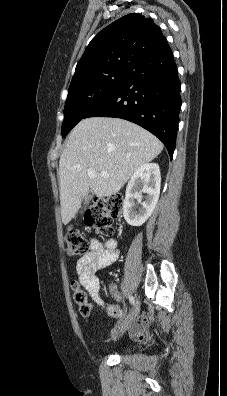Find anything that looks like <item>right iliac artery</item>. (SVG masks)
Segmentation results:
<instances>
[{
  "mask_svg": "<svg viewBox=\"0 0 227 396\" xmlns=\"http://www.w3.org/2000/svg\"><path fill=\"white\" fill-rule=\"evenodd\" d=\"M129 302H130L132 305H134L135 300H134V297H133V296H129Z\"/></svg>",
  "mask_w": 227,
  "mask_h": 396,
  "instance_id": "right-iliac-artery-1",
  "label": "right iliac artery"
}]
</instances>
